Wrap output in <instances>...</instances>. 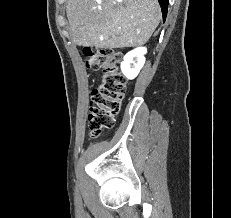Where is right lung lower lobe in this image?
I'll list each match as a JSON object with an SVG mask.
<instances>
[{
  "label": "right lung lower lobe",
  "mask_w": 231,
  "mask_h": 218,
  "mask_svg": "<svg viewBox=\"0 0 231 218\" xmlns=\"http://www.w3.org/2000/svg\"><path fill=\"white\" fill-rule=\"evenodd\" d=\"M158 2H159L160 7L162 9L163 21H165L166 15H167V10H168L169 0H158Z\"/></svg>",
  "instance_id": "right-lung-lower-lobe-1"
}]
</instances>
